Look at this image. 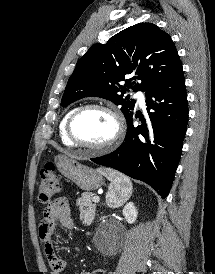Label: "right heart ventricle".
Wrapping results in <instances>:
<instances>
[{
  "instance_id": "1",
  "label": "right heart ventricle",
  "mask_w": 215,
  "mask_h": 274,
  "mask_svg": "<svg viewBox=\"0 0 215 274\" xmlns=\"http://www.w3.org/2000/svg\"><path fill=\"white\" fill-rule=\"evenodd\" d=\"M74 111V109L70 110L65 114V116L62 118L60 125H59V135L61 138V141L64 145L66 146H75L74 143L68 138L67 133H66V124L69 116L71 113Z\"/></svg>"
}]
</instances>
